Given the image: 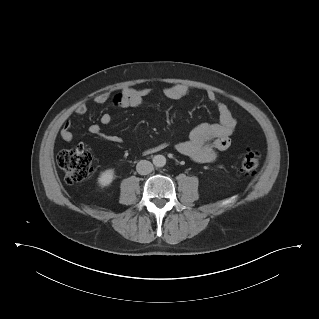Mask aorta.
<instances>
[{
  "instance_id": "obj_1",
  "label": "aorta",
  "mask_w": 319,
  "mask_h": 319,
  "mask_svg": "<svg viewBox=\"0 0 319 319\" xmlns=\"http://www.w3.org/2000/svg\"><path fill=\"white\" fill-rule=\"evenodd\" d=\"M153 163L156 167H163L166 164V158L163 155H156L153 158Z\"/></svg>"
}]
</instances>
